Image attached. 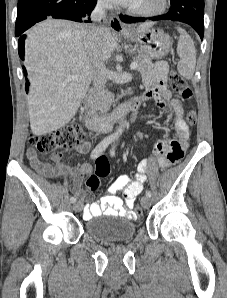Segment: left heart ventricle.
Masks as SVG:
<instances>
[{
  "instance_id": "obj_1",
  "label": "left heart ventricle",
  "mask_w": 227,
  "mask_h": 298,
  "mask_svg": "<svg viewBox=\"0 0 227 298\" xmlns=\"http://www.w3.org/2000/svg\"><path fill=\"white\" fill-rule=\"evenodd\" d=\"M158 0H136L131 6L139 9H152L157 6Z\"/></svg>"
}]
</instances>
